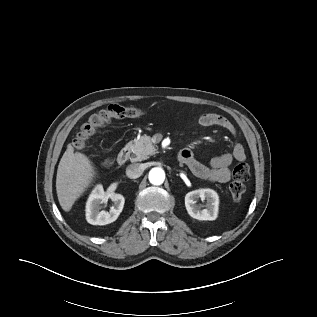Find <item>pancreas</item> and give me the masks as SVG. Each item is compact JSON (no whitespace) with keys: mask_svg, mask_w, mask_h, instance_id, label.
<instances>
[{"mask_svg":"<svg viewBox=\"0 0 317 317\" xmlns=\"http://www.w3.org/2000/svg\"><path fill=\"white\" fill-rule=\"evenodd\" d=\"M129 148L133 152L130 160L132 162L148 159L155 153V148L152 144L150 136L143 135L139 139L129 144Z\"/></svg>","mask_w":317,"mask_h":317,"instance_id":"obj_1","label":"pancreas"}]
</instances>
